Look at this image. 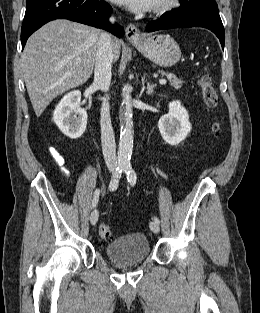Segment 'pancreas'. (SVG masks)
Instances as JSON below:
<instances>
[{
	"label": "pancreas",
	"mask_w": 260,
	"mask_h": 313,
	"mask_svg": "<svg viewBox=\"0 0 260 313\" xmlns=\"http://www.w3.org/2000/svg\"><path fill=\"white\" fill-rule=\"evenodd\" d=\"M160 73L168 78L169 83L173 88L180 89L182 87V84L184 83L182 79H178L174 74L165 73L164 71H160Z\"/></svg>",
	"instance_id": "cf45deb5"
}]
</instances>
